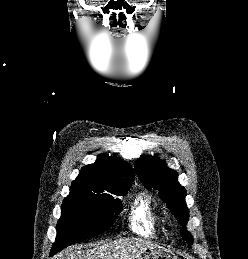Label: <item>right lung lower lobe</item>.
I'll list each match as a JSON object with an SVG mask.
<instances>
[{"mask_svg":"<svg viewBox=\"0 0 248 259\" xmlns=\"http://www.w3.org/2000/svg\"><path fill=\"white\" fill-rule=\"evenodd\" d=\"M55 253L53 251H51V255H54Z\"/></svg>","mask_w":248,"mask_h":259,"instance_id":"98d812e1","label":"right lung lower lobe"}]
</instances>
